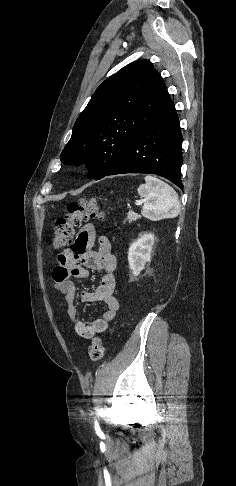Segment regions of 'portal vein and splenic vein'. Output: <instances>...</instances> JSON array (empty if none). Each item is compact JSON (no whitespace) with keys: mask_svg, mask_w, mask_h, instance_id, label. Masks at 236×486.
Wrapping results in <instances>:
<instances>
[{"mask_svg":"<svg viewBox=\"0 0 236 486\" xmlns=\"http://www.w3.org/2000/svg\"><path fill=\"white\" fill-rule=\"evenodd\" d=\"M143 202H144L143 200H138V201L135 202V205L140 206V205L143 204Z\"/></svg>","mask_w":236,"mask_h":486,"instance_id":"obj_1","label":"portal vein and splenic vein"}]
</instances>
